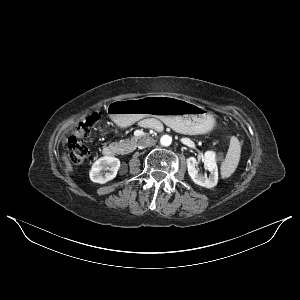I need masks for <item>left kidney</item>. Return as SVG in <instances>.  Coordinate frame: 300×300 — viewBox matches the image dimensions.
Wrapping results in <instances>:
<instances>
[{
  "label": "left kidney",
  "instance_id": "left-kidney-1",
  "mask_svg": "<svg viewBox=\"0 0 300 300\" xmlns=\"http://www.w3.org/2000/svg\"><path fill=\"white\" fill-rule=\"evenodd\" d=\"M204 167L210 172L209 176L199 174L198 161L194 157L187 159L188 173L195 184L205 188H212L218 182V167L216 161V153L214 151H206L202 156Z\"/></svg>",
  "mask_w": 300,
  "mask_h": 300
}]
</instances>
